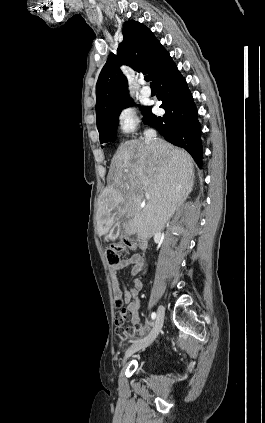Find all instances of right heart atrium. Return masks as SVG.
Wrapping results in <instances>:
<instances>
[{
    "label": "right heart atrium",
    "instance_id": "right-heart-atrium-1",
    "mask_svg": "<svg viewBox=\"0 0 265 423\" xmlns=\"http://www.w3.org/2000/svg\"><path fill=\"white\" fill-rule=\"evenodd\" d=\"M139 123V117L135 107L131 104L123 105L116 115L118 130L123 134L133 132Z\"/></svg>",
    "mask_w": 265,
    "mask_h": 423
}]
</instances>
